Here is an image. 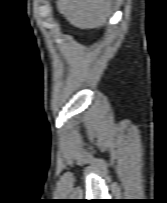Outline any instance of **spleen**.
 I'll return each mask as SVG.
<instances>
[{
  "mask_svg": "<svg viewBox=\"0 0 167 203\" xmlns=\"http://www.w3.org/2000/svg\"><path fill=\"white\" fill-rule=\"evenodd\" d=\"M112 8V0H58L57 9L80 29L103 26Z\"/></svg>",
  "mask_w": 167,
  "mask_h": 203,
  "instance_id": "obj_1",
  "label": "spleen"
}]
</instances>
